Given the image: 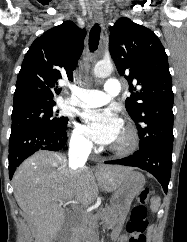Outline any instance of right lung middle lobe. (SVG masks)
Instances as JSON below:
<instances>
[{
	"label": "right lung middle lobe",
	"instance_id": "dd1d6c3e",
	"mask_svg": "<svg viewBox=\"0 0 187 242\" xmlns=\"http://www.w3.org/2000/svg\"><path fill=\"white\" fill-rule=\"evenodd\" d=\"M55 102H31L13 106L11 131L24 128L66 131L68 118L59 116Z\"/></svg>",
	"mask_w": 187,
	"mask_h": 242
}]
</instances>
